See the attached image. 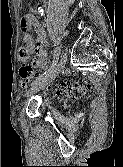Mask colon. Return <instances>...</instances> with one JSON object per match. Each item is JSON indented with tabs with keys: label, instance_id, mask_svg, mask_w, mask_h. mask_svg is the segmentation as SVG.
Instances as JSON below:
<instances>
[{
	"label": "colon",
	"instance_id": "1",
	"mask_svg": "<svg viewBox=\"0 0 123 167\" xmlns=\"http://www.w3.org/2000/svg\"><path fill=\"white\" fill-rule=\"evenodd\" d=\"M18 58L21 63H23L20 68V77L24 82H29L35 77V72L32 67L27 65L29 60V50L25 47H21L18 50ZM90 85L87 82L76 83L73 85H66L60 89V93L72 99H81L88 92Z\"/></svg>",
	"mask_w": 123,
	"mask_h": 167
}]
</instances>
